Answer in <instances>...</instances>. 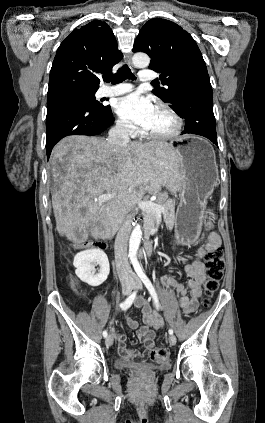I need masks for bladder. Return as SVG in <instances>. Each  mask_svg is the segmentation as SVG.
Wrapping results in <instances>:
<instances>
[{
    "mask_svg": "<svg viewBox=\"0 0 265 423\" xmlns=\"http://www.w3.org/2000/svg\"><path fill=\"white\" fill-rule=\"evenodd\" d=\"M116 366L118 368H121V369H131V368L138 367V366H135V365H133V364H131V363L125 361V360L123 361L121 359L116 362Z\"/></svg>",
    "mask_w": 265,
    "mask_h": 423,
    "instance_id": "31cf9c89",
    "label": "bladder"
}]
</instances>
